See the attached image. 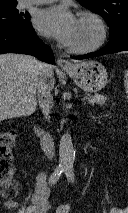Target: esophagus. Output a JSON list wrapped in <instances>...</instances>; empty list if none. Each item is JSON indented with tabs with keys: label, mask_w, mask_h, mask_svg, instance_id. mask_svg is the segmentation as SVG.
Listing matches in <instances>:
<instances>
[{
	"label": "esophagus",
	"mask_w": 128,
	"mask_h": 213,
	"mask_svg": "<svg viewBox=\"0 0 128 213\" xmlns=\"http://www.w3.org/2000/svg\"><path fill=\"white\" fill-rule=\"evenodd\" d=\"M57 65L63 70H69L73 67V65L69 61L61 57L57 59Z\"/></svg>",
	"instance_id": "esophagus-1"
}]
</instances>
